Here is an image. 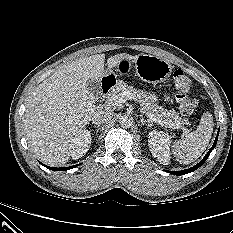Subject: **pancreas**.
Wrapping results in <instances>:
<instances>
[{
    "mask_svg": "<svg viewBox=\"0 0 233 233\" xmlns=\"http://www.w3.org/2000/svg\"><path fill=\"white\" fill-rule=\"evenodd\" d=\"M124 92H129L135 100L140 103L142 111L150 117L151 115L157 120L162 121L166 126L178 125L180 128L185 124L186 120L182 119L174 109L167 110L163 106L156 103L157 96L153 93L137 90L133 86H129L124 81L117 82L115 88L110 92L108 100L113 95H121Z\"/></svg>",
    "mask_w": 233,
    "mask_h": 233,
    "instance_id": "obj_1",
    "label": "pancreas"
}]
</instances>
